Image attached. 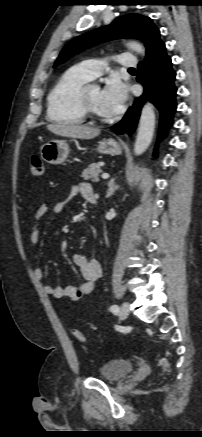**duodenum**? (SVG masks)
<instances>
[{"mask_svg": "<svg viewBox=\"0 0 202 437\" xmlns=\"http://www.w3.org/2000/svg\"><path fill=\"white\" fill-rule=\"evenodd\" d=\"M88 201H89V203H91V204H93V205L97 203V200H96V198H95V195L90 196V197L88 198Z\"/></svg>", "mask_w": 202, "mask_h": 437, "instance_id": "410a0bca", "label": "duodenum"}]
</instances>
